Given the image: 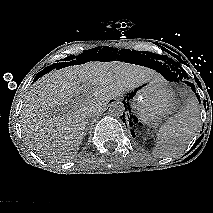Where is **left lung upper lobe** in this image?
I'll list each match as a JSON object with an SVG mask.
<instances>
[{
  "label": "left lung upper lobe",
  "instance_id": "obj_1",
  "mask_svg": "<svg viewBox=\"0 0 213 213\" xmlns=\"http://www.w3.org/2000/svg\"><path fill=\"white\" fill-rule=\"evenodd\" d=\"M166 63L170 66L173 71V74L178 77L179 79L187 78L186 72L182 69L179 63L175 62L173 59H166Z\"/></svg>",
  "mask_w": 213,
  "mask_h": 213
}]
</instances>
